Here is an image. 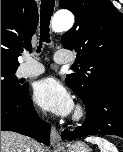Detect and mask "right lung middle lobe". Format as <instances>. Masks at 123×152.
<instances>
[{
  "label": "right lung middle lobe",
  "mask_w": 123,
  "mask_h": 152,
  "mask_svg": "<svg viewBox=\"0 0 123 152\" xmlns=\"http://www.w3.org/2000/svg\"><path fill=\"white\" fill-rule=\"evenodd\" d=\"M17 69L1 68V93H12L23 90L26 85H21L14 75Z\"/></svg>",
  "instance_id": "obj_1"
}]
</instances>
